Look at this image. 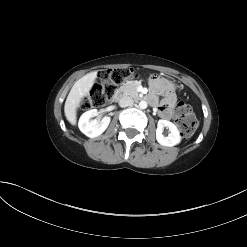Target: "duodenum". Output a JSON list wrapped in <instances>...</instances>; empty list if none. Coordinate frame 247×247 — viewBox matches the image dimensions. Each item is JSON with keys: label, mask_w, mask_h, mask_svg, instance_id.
Returning a JSON list of instances; mask_svg holds the SVG:
<instances>
[{"label": "duodenum", "mask_w": 247, "mask_h": 247, "mask_svg": "<svg viewBox=\"0 0 247 247\" xmlns=\"http://www.w3.org/2000/svg\"><path fill=\"white\" fill-rule=\"evenodd\" d=\"M124 96V94H123V89H118V94H117V96H116V100L118 101V100H120L122 97ZM146 100L149 102V103H151V98L149 97V96H147L146 97Z\"/></svg>", "instance_id": "1"}]
</instances>
